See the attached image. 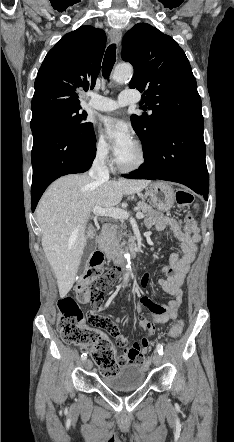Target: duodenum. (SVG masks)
Listing matches in <instances>:
<instances>
[{
    "mask_svg": "<svg viewBox=\"0 0 234 442\" xmlns=\"http://www.w3.org/2000/svg\"><path fill=\"white\" fill-rule=\"evenodd\" d=\"M109 234H110V226L105 225L103 227V234L100 238V249L103 253L106 254V256L115 264V265H121L123 264L126 259L130 257H135L139 254L140 249L137 244H132L126 249L123 250H116L110 245L109 241Z\"/></svg>",
    "mask_w": 234,
    "mask_h": 442,
    "instance_id": "obj_1",
    "label": "duodenum"
}]
</instances>
